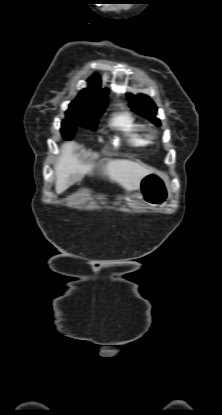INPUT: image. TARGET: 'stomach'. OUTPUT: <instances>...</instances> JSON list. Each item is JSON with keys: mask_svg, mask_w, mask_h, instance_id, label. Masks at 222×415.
<instances>
[{"mask_svg": "<svg viewBox=\"0 0 222 415\" xmlns=\"http://www.w3.org/2000/svg\"><path fill=\"white\" fill-rule=\"evenodd\" d=\"M136 189L140 191V197L152 206L164 205L171 196L167 176L158 171L146 175Z\"/></svg>", "mask_w": 222, "mask_h": 415, "instance_id": "0dacf381", "label": "stomach"}]
</instances>
